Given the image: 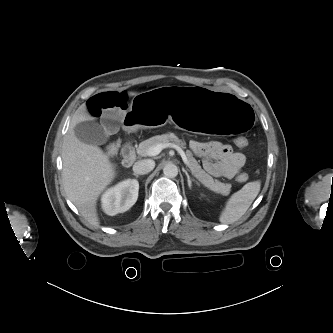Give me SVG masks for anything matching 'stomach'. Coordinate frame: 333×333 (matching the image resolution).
Returning <instances> with one entry per match:
<instances>
[{"label": "stomach", "instance_id": "0dacf381", "mask_svg": "<svg viewBox=\"0 0 333 333\" xmlns=\"http://www.w3.org/2000/svg\"><path fill=\"white\" fill-rule=\"evenodd\" d=\"M147 92L132 99L128 113L131 120L126 127L159 128L173 122L192 133L241 138L255 124L253 109L238 98L186 86H166Z\"/></svg>", "mask_w": 333, "mask_h": 333}]
</instances>
